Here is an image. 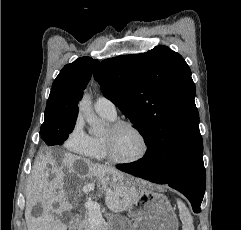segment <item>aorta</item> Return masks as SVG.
Here are the masks:
<instances>
[{
    "mask_svg": "<svg viewBox=\"0 0 241 230\" xmlns=\"http://www.w3.org/2000/svg\"><path fill=\"white\" fill-rule=\"evenodd\" d=\"M79 113L85 118L90 126L89 133L92 135H100L104 131V122L100 120L94 113L91 103L90 94L85 93L79 102Z\"/></svg>",
    "mask_w": 241,
    "mask_h": 230,
    "instance_id": "1",
    "label": "aorta"
}]
</instances>
